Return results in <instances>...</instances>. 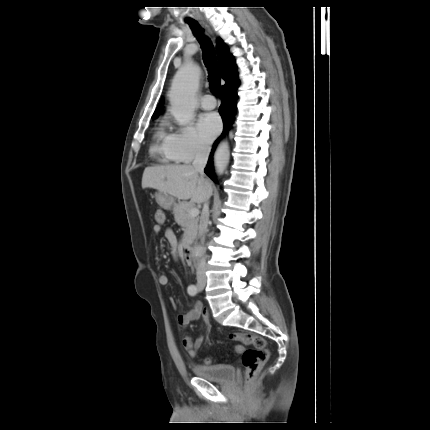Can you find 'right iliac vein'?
Listing matches in <instances>:
<instances>
[{
  "mask_svg": "<svg viewBox=\"0 0 430 430\" xmlns=\"http://www.w3.org/2000/svg\"><path fill=\"white\" fill-rule=\"evenodd\" d=\"M199 282H203V280L201 279V280H199Z\"/></svg>",
  "mask_w": 430,
  "mask_h": 430,
  "instance_id": "obj_1",
  "label": "right iliac vein"
}]
</instances>
